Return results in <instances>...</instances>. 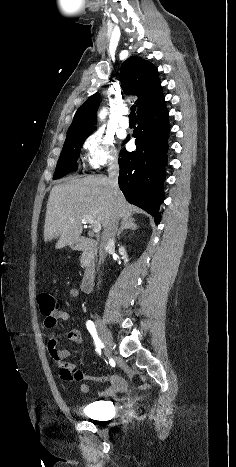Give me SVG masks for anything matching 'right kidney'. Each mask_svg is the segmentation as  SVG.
Masks as SVG:
<instances>
[{
    "label": "right kidney",
    "mask_w": 236,
    "mask_h": 467,
    "mask_svg": "<svg viewBox=\"0 0 236 467\" xmlns=\"http://www.w3.org/2000/svg\"><path fill=\"white\" fill-rule=\"evenodd\" d=\"M119 253L122 255L123 259H124V262H128V258H127V253L125 251V248L124 247H120L119 248Z\"/></svg>",
    "instance_id": "right-kidney-1"
}]
</instances>
